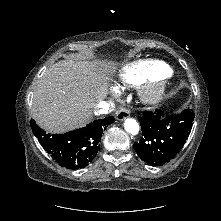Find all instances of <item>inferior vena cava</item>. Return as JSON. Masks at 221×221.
Instances as JSON below:
<instances>
[{
    "label": "inferior vena cava",
    "instance_id": "inferior-vena-cava-1",
    "mask_svg": "<svg viewBox=\"0 0 221 221\" xmlns=\"http://www.w3.org/2000/svg\"><path fill=\"white\" fill-rule=\"evenodd\" d=\"M109 107H110V103H108L106 101H100L97 104L95 113L100 114V115L101 114H108L110 112Z\"/></svg>",
    "mask_w": 221,
    "mask_h": 221
}]
</instances>
